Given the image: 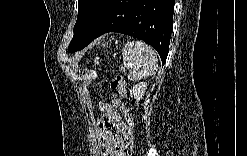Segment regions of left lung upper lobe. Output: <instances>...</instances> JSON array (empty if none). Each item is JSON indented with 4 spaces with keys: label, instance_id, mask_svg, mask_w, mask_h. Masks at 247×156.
<instances>
[{
    "label": "left lung upper lobe",
    "instance_id": "left-lung-upper-lobe-1",
    "mask_svg": "<svg viewBox=\"0 0 247 156\" xmlns=\"http://www.w3.org/2000/svg\"><path fill=\"white\" fill-rule=\"evenodd\" d=\"M107 2L108 0H78V17L74 26V36L68 47L69 52L84 48L88 31Z\"/></svg>",
    "mask_w": 247,
    "mask_h": 156
}]
</instances>
